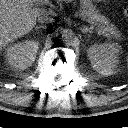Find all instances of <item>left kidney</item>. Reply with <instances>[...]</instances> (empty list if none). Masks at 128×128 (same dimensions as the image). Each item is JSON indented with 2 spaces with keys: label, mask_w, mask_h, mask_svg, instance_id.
Returning a JSON list of instances; mask_svg holds the SVG:
<instances>
[{
  "label": "left kidney",
  "mask_w": 128,
  "mask_h": 128,
  "mask_svg": "<svg viewBox=\"0 0 128 128\" xmlns=\"http://www.w3.org/2000/svg\"><path fill=\"white\" fill-rule=\"evenodd\" d=\"M121 46L117 43L94 44L87 54L94 70L102 75H111L117 68L118 53Z\"/></svg>",
  "instance_id": "1"
}]
</instances>
